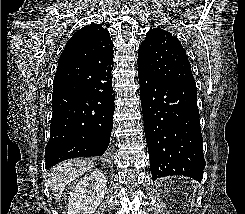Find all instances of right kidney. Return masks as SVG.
<instances>
[{
  "label": "right kidney",
  "instance_id": "1",
  "mask_svg": "<svg viewBox=\"0 0 245 214\" xmlns=\"http://www.w3.org/2000/svg\"><path fill=\"white\" fill-rule=\"evenodd\" d=\"M106 177L98 170L81 178L68 197V214H93L106 192Z\"/></svg>",
  "mask_w": 245,
  "mask_h": 214
}]
</instances>
